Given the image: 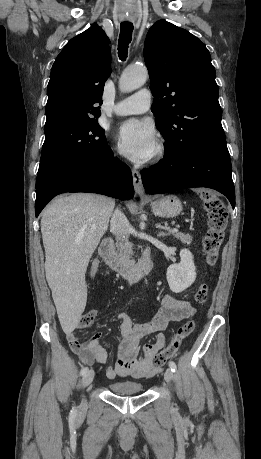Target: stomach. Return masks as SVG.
I'll return each instance as SVG.
<instances>
[{
    "label": "stomach",
    "instance_id": "obj_1",
    "mask_svg": "<svg viewBox=\"0 0 261 459\" xmlns=\"http://www.w3.org/2000/svg\"><path fill=\"white\" fill-rule=\"evenodd\" d=\"M152 211L159 217H176L182 211L179 198L173 195L163 196L151 201Z\"/></svg>",
    "mask_w": 261,
    "mask_h": 459
}]
</instances>
